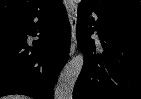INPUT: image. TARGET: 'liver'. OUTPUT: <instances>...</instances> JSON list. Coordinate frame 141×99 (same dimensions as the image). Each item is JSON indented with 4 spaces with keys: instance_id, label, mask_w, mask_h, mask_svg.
Listing matches in <instances>:
<instances>
[{
    "instance_id": "1",
    "label": "liver",
    "mask_w": 141,
    "mask_h": 99,
    "mask_svg": "<svg viewBox=\"0 0 141 99\" xmlns=\"http://www.w3.org/2000/svg\"><path fill=\"white\" fill-rule=\"evenodd\" d=\"M5 99H29L26 96H20V95H13V96H9Z\"/></svg>"
}]
</instances>
